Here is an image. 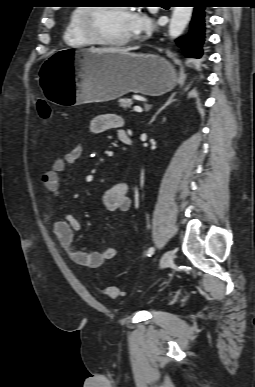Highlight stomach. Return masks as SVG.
Instances as JSON below:
<instances>
[{
    "label": "stomach",
    "mask_w": 255,
    "mask_h": 387,
    "mask_svg": "<svg viewBox=\"0 0 255 387\" xmlns=\"http://www.w3.org/2000/svg\"><path fill=\"white\" fill-rule=\"evenodd\" d=\"M37 81L43 95L59 108H85L88 102L118 98L128 92L162 95L174 88L177 74L153 54L94 52L65 46L48 57Z\"/></svg>",
    "instance_id": "0dacf381"
}]
</instances>
